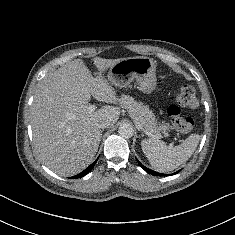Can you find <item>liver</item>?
Segmentation results:
<instances>
[{"label": "liver", "instance_id": "liver-1", "mask_svg": "<svg viewBox=\"0 0 235 235\" xmlns=\"http://www.w3.org/2000/svg\"><path fill=\"white\" fill-rule=\"evenodd\" d=\"M120 59L94 58L99 73L93 78L81 60L48 73L37 85L31 106L33 139L43 163L61 176L81 172L94 159L101 139L98 125L119 119L117 107L105 105L88 112L91 96L116 104L112 84L102 72Z\"/></svg>", "mask_w": 235, "mask_h": 235}]
</instances>
